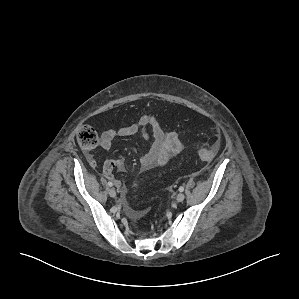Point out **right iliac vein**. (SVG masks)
Wrapping results in <instances>:
<instances>
[{
    "label": "right iliac vein",
    "instance_id": "63e3f726",
    "mask_svg": "<svg viewBox=\"0 0 299 299\" xmlns=\"http://www.w3.org/2000/svg\"><path fill=\"white\" fill-rule=\"evenodd\" d=\"M108 193H109V195H110L111 197H116V191H115L114 188H110V189L108 190Z\"/></svg>",
    "mask_w": 299,
    "mask_h": 299
}]
</instances>
